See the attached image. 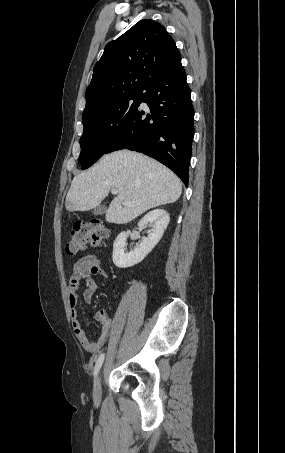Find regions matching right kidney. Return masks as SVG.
Here are the masks:
<instances>
[{
	"label": "right kidney",
	"mask_w": 285,
	"mask_h": 453,
	"mask_svg": "<svg viewBox=\"0 0 285 453\" xmlns=\"http://www.w3.org/2000/svg\"><path fill=\"white\" fill-rule=\"evenodd\" d=\"M170 221L169 214L163 209L148 212L138 223L142 229L146 225L152 227L148 236L132 251L127 252L125 247L128 233L121 232L113 244V263L118 268H128L140 263L158 244Z\"/></svg>",
	"instance_id": "1"
}]
</instances>
